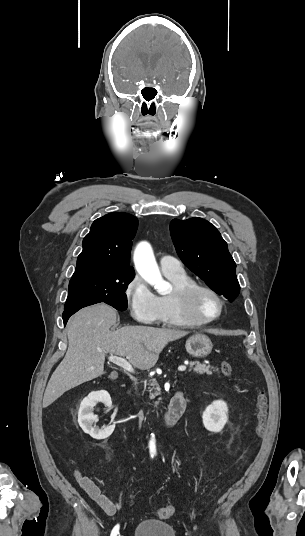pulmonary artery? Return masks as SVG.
I'll return each mask as SVG.
<instances>
[{
	"label": "pulmonary artery",
	"mask_w": 305,
	"mask_h": 536,
	"mask_svg": "<svg viewBox=\"0 0 305 536\" xmlns=\"http://www.w3.org/2000/svg\"><path fill=\"white\" fill-rule=\"evenodd\" d=\"M159 265L163 273L180 274L184 272V268L179 261L171 256H161Z\"/></svg>",
	"instance_id": "pulmonary-artery-1"
}]
</instances>
